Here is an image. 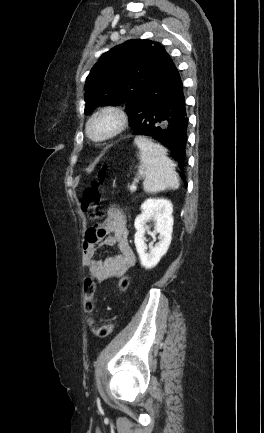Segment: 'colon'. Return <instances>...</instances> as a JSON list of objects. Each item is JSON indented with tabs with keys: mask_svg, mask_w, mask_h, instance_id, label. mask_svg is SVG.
<instances>
[{
	"mask_svg": "<svg viewBox=\"0 0 264 433\" xmlns=\"http://www.w3.org/2000/svg\"><path fill=\"white\" fill-rule=\"evenodd\" d=\"M107 167L101 165L95 172L91 186L85 190L82 198V206L85 211L90 214L92 219H99L103 216L102 197L99 191L100 186L105 180ZM130 284L128 276H122L118 281V288L125 291ZM96 283L93 277H86L83 285L84 307L86 312L91 313L93 310V298L95 294ZM90 325L93 324L92 319H89ZM113 324L108 322L100 326H92V331L95 336L105 338L112 333Z\"/></svg>",
	"mask_w": 264,
	"mask_h": 433,
	"instance_id": "obj_1",
	"label": "colon"
}]
</instances>
